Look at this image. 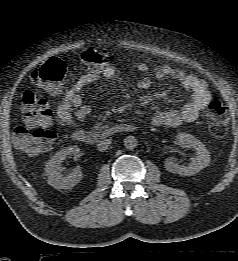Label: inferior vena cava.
<instances>
[{
	"label": "inferior vena cava",
	"mask_w": 238,
	"mask_h": 261,
	"mask_svg": "<svg viewBox=\"0 0 238 261\" xmlns=\"http://www.w3.org/2000/svg\"><path fill=\"white\" fill-rule=\"evenodd\" d=\"M111 144V139H104L100 141L97 146L99 151L107 150L108 146Z\"/></svg>",
	"instance_id": "1"
}]
</instances>
